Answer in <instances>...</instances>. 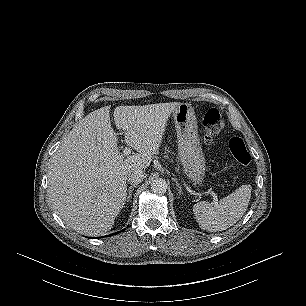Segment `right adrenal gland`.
Masks as SVG:
<instances>
[{
	"mask_svg": "<svg viewBox=\"0 0 306 306\" xmlns=\"http://www.w3.org/2000/svg\"><path fill=\"white\" fill-rule=\"evenodd\" d=\"M136 188V185H132L128 188V191H127V196H126V200L127 202L130 201V198L132 197V191L133 189Z\"/></svg>",
	"mask_w": 306,
	"mask_h": 306,
	"instance_id": "2a0ac1e0",
	"label": "right adrenal gland"
}]
</instances>
